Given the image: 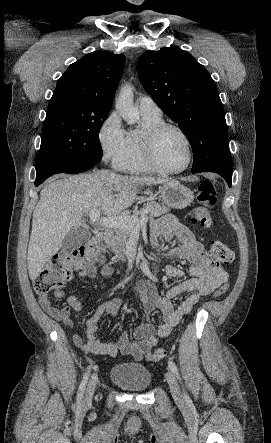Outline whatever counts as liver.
I'll use <instances>...</instances> for the list:
<instances>
[{
  "mask_svg": "<svg viewBox=\"0 0 271 443\" xmlns=\"http://www.w3.org/2000/svg\"><path fill=\"white\" fill-rule=\"evenodd\" d=\"M166 180L147 176H120L109 170L80 176H54L41 190L32 220L27 265L30 279H36L46 261L57 253L71 229L85 225L84 216L99 210L116 216L132 206L138 186H157Z\"/></svg>",
  "mask_w": 271,
  "mask_h": 443,
  "instance_id": "liver-1",
  "label": "liver"
}]
</instances>
